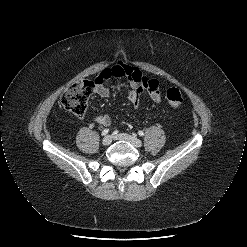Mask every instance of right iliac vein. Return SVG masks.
<instances>
[{"instance_id": "63e3f726", "label": "right iliac vein", "mask_w": 247, "mask_h": 247, "mask_svg": "<svg viewBox=\"0 0 247 247\" xmlns=\"http://www.w3.org/2000/svg\"><path fill=\"white\" fill-rule=\"evenodd\" d=\"M111 142H112V137L109 136V135L104 137L103 140H102V144L105 145V146L110 145Z\"/></svg>"}]
</instances>
